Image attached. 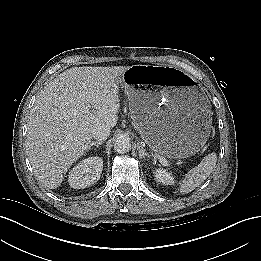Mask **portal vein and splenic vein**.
Instances as JSON below:
<instances>
[{
  "mask_svg": "<svg viewBox=\"0 0 261 261\" xmlns=\"http://www.w3.org/2000/svg\"><path fill=\"white\" fill-rule=\"evenodd\" d=\"M158 159L160 160V162L163 164V165H167L168 164V161L167 159H165L164 157L162 156H158Z\"/></svg>",
  "mask_w": 261,
  "mask_h": 261,
  "instance_id": "obj_1",
  "label": "portal vein and splenic vein"
}]
</instances>
